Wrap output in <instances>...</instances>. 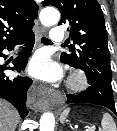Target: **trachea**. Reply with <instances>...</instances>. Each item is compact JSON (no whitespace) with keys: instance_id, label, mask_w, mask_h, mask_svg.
<instances>
[{"instance_id":"1","label":"trachea","mask_w":117,"mask_h":131,"mask_svg":"<svg viewBox=\"0 0 117 131\" xmlns=\"http://www.w3.org/2000/svg\"><path fill=\"white\" fill-rule=\"evenodd\" d=\"M41 41L43 42V43H52L48 38H46V37H42L41 38Z\"/></svg>"}]
</instances>
